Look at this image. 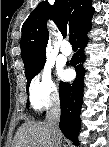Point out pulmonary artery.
I'll return each mask as SVG.
<instances>
[{"label": "pulmonary artery", "mask_w": 109, "mask_h": 147, "mask_svg": "<svg viewBox=\"0 0 109 147\" xmlns=\"http://www.w3.org/2000/svg\"><path fill=\"white\" fill-rule=\"evenodd\" d=\"M61 52L65 56H70L72 54V48L68 41H64L61 46Z\"/></svg>", "instance_id": "pulmonary-artery-1"}]
</instances>
